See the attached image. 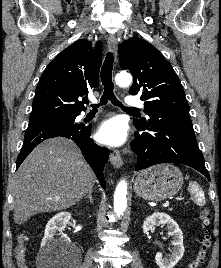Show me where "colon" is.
Listing matches in <instances>:
<instances>
[{
    "instance_id": "5ec220e1",
    "label": "colon",
    "mask_w": 221,
    "mask_h": 268,
    "mask_svg": "<svg viewBox=\"0 0 221 268\" xmlns=\"http://www.w3.org/2000/svg\"><path fill=\"white\" fill-rule=\"evenodd\" d=\"M200 221L201 225L204 228V233L200 241V246L197 251V254L195 258L190 262L188 268H200L202 264L204 263L209 249L211 247V234L209 232V227H210V221H211V215L210 211L208 209H203L201 214H200ZM26 237L23 235L20 237L17 248H16V254H17V260L19 263L20 268H25L28 267L25 263V258H24V241Z\"/></svg>"
}]
</instances>
